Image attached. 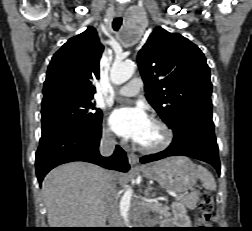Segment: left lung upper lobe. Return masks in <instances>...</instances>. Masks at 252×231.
Here are the masks:
<instances>
[{
  "instance_id": "left-lung-upper-lobe-1",
  "label": "left lung upper lobe",
  "mask_w": 252,
  "mask_h": 231,
  "mask_svg": "<svg viewBox=\"0 0 252 231\" xmlns=\"http://www.w3.org/2000/svg\"><path fill=\"white\" fill-rule=\"evenodd\" d=\"M137 60L146 98L169 126L189 111L212 113L210 69L187 38L156 27Z\"/></svg>"
}]
</instances>
